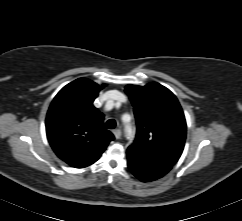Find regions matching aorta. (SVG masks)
I'll list each match as a JSON object with an SVG mask.
<instances>
[{
	"mask_svg": "<svg viewBox=\"0 0 242 221\" xmlns=\"http://www.w3.org/2000/svg\"><path fill=\"white\" fill-rule=\"evenodd\" d=\"M125 131H126V137L127 139L131 140L134 137V129L131 125H127L125 127Z\"/></svg>",
	"mask_w": 242,
	"mask_h": 221,
	"instance_id": "aorta-1",
	"label": "aorta"
}]
</instances>
